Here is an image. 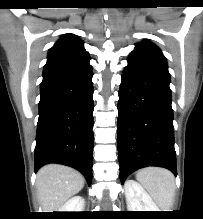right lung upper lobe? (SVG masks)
I'll return each mask as SVG.
<instances>
[{
    "label": "right lung upper lobe",
    "mask_w": 203,
    "mask_h": 219,
    "mask_svg": "<svg viewBox=\"0 0 203 219\" xmlns=\"http://www.w3.org/2000/svg\"><path fill=\"white\" fill-rule=\"evenodd\" d=\"M89 59L83 41L74 34L63 35L49 50L46 66Z\"/></svg>",
    "instance_id": "1"
}]
</instances>
